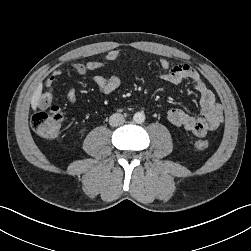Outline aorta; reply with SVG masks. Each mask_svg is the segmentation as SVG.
I'll return each mask as SVG.
<instances>
[{"mask_svg": "<svg viewBox=\"0 0 251 251\" xmlns=\"http://www.w3.org/2000/svg\"><path fill=\"white\" fill-rule=\"evenodd\" d=\"M133 121L135 123L141 124L145 121V115L143 112H136L133 116Z\"/></svg>", "mask_w": 251, "mask_h": 251, "instance_id": "762f6f07", "label": "aorta"}]
</instances>
